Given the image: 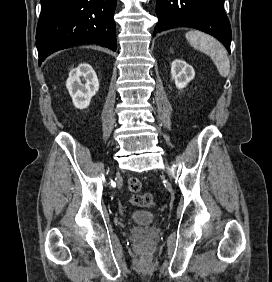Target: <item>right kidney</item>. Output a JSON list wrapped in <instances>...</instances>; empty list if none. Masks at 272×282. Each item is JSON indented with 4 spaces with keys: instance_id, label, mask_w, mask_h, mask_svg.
<instances>
[{
    "instance_id": "obj_1",
    "label": "right kidney",
    "mask_w": 272,
    "mask_h": 282,
    "mask_svg": "<svg viewBox=\"0 0 272 282\" xmlns=\"http://www.w3.org/2000/svg\"><path fill=\"white\" fill-rule=\"evenodd\" d=\"M81 79L85 83H82ZM66 87L74 106L78 109H84L89 106L91 98L98 91L99 81L92 66L88 63H82L70 71Z\"/></svg>"
}]
</instances>
